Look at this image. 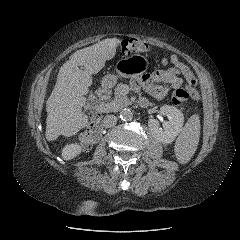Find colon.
I'll return each mask as SVG.
<instances>
[{
  "instance_id": "1",
  "label": "colon",
  "mask_w": 240,
  "mask_h": 240,
  "mask_svg": "<svg viewBox=\"0 0 240 240\" xmlns=\"http://www.w3.org/2000/svg\"><path fill=\"white\" fill-rule=\"evenodd\" d=\"M121 52L125 55L137 52H147L150 50L149 44L139 38H126L120 43ZM190 97L193 95L184 89H177L172 97L171 101L174 105H182L187 103ZM100 121L99 116L95 115L88 129L84 131L80 137V144L83 149H89L95 144L100 137Z\"/></svg>"
}]
</instances>
